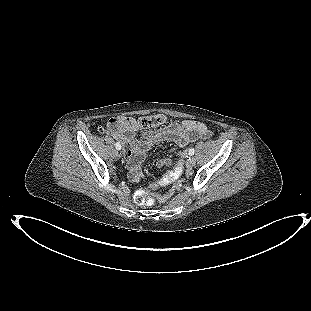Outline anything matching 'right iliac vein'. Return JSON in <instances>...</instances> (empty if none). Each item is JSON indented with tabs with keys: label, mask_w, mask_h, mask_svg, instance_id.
Masks as SVG:
<instances>
[{
	"label": "right iliac vein",
	"mask_w": 311,
	"mask_h": 311,
	"mask_svg": "<svg viewBox=\"0 0 311 311\" xmlns=\"http://www.w3.org/2000/svg\"><path fill=\"white\" fill-rule=\"evenodd\" d=\"M117 154H118V152H116V151H114L113 153H112V156H117Z\"/></svg>",
	"instance_id": "right-iliac-vein-1"
}]
</instances>
